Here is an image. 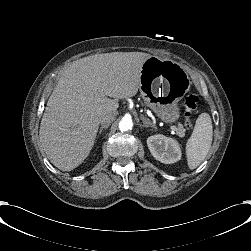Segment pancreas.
Instances as JSON below:
<instances>
[{
    "label": "pancreas",
    "instance_id": "pancreas-1",
    "mask_svg": "<svg viewBox=\"0 0 251 251\" xmlns=\"http://www.w3.org/2000/svg\"><path fill=\"white\" fill-rule=\"evenodd\" d=\"M153 124V122H152ZM189 129V127H187L185 124H181V123H177V128L175 130L176 134H178L179 136L183 137L185 134V131Z\"/></svg>",
    "mask_w": 251,
    "mask_h": 251
}]
</instances>
